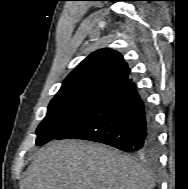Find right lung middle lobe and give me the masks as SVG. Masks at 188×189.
<instances>
[{"label":"right lung middle lobe","instance_id":"obj_1","mask_svg":"<svg viewBox=\"0 0 188 189\" xmlns=\"http://www.w3.org/2000/svg\"><path fill=\"white\" fill-rule=\"evenodd\" d=\"M107 94L100 90L56 94L48 106L45 119L37 128L36 145L49 142L71 127Z\"/></svg>","mask_w":188,"mask_h":189}]
</instances>
